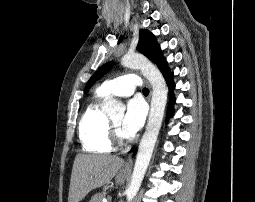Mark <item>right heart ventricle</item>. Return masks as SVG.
<instances>
[{
  "instance_id": "right-heart-ventricle-1",
  "label": "right heart ventricle",
  "mask_w": 255,
  "mask_h": 202,
  "mask_svg": "<svg viewBox=\"0 0 255 202\" xmlns=\"http://www.w3.org/2000/svg\"><path fill=\"white\" fill-rule=\"evenodd\" d=\"M101 98L97 94V99L86 108L79 123L81 143L91 153H109L113 148L109 119L99 106Z\"/></svg>"
}]
</instances>
